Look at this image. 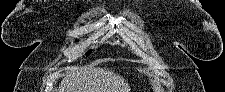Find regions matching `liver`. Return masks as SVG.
Returning a JSON list of instances; mask_svg holds the SVG:
<instances>
[{
  "label": "liver",
  "mask_w": 225,
  "mask_h": 92,
  "mask_svg": "<svg viewBox=\"0 0 225 92\" xmlns=\"http://www.w3.org/2000/svg\"><path fill=\"white\" fill-rule=\"evenodd\" d=\"M60 83L61 92H130L123 77L108 69L68 68Z\"/></svg>",
  "instance_id": "6515ba94"
}]
</instances>
